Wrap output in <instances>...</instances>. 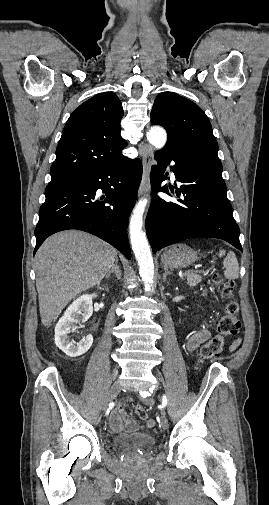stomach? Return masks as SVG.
Returning <instances> with one entry per match:
<instances>
[{"label": "stomach", "mask_w": 269, "mask_h": 505, "mask_svg": "<svg viewBox=\"0 0 269 505\" xmlns=\"http://www.w3.org/2000/svg\"><path fill=\"white\" fill-rule=\"evenodd\" d=\"M197 251L185 244H177L164 251L161 261L168 268H182L197 260Z\"/></svg>", "instance_id": "obj_1"}]
</instances>
